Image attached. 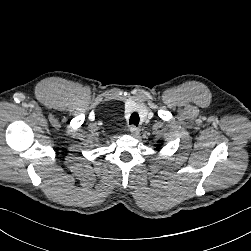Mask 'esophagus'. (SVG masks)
<instances>
[{
    "label": "esophagus",
    "instance_id": "34e87169",
    "mask_svg": "<svg viewBox=\"0 0 251 251\" xmlns=\"http://www.w3.org/2000/svg\"><path fill=\"white\" fill-rule=\"evenodd\" d=\"M130 132L132 133V135H137L140 132V130L138 127L132 125L130 126Z\"/></svg>",
    "mask_w": 251,
    "mask_h": 251
}]
</instances>
